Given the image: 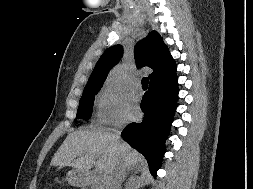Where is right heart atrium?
I'll return each instance as SVG.
<instances>
[{
  "label": "right heart atrium",
  "instance_id": "1",
  "mask_svg": "<svg viewBox=\"0 0 253 189\" xmlns=\"http://www.w3.org/2000/svg\"><path fill=\"white\" fill-rule=\"evenodd\" d=\"M125 100L112 88H103L96 97L97 122L105 126H118L125 121Z\"/></svg>",
  "mask_w": 253,
  "mask_h": 189
}]
</instances>
